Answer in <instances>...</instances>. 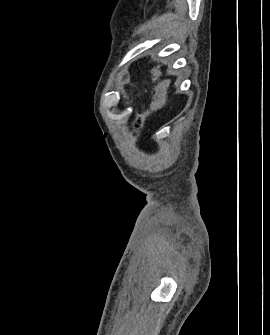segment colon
<instances>
[{
    "instance_id": "colon-1",
    "label": "colon",
    "mask_w": 270,
    "mask_h": 335,
    "mask_svg": "<svg viewBox=\"0 0 270 335\" xmlns=\"http://www.w3.org/2000/svg\"><path fill=\"white\" fill-rule=\"evenodd\" d=\"M153 63H156V68H162V63H158V58H153ZM155 88H170V79H165V83H155ZM163 95H169V90H163ZM157 109H171L172 103L165 102V98H160V102L156 103ZM151 114L150 109L142 111L137 119V127L139 128L143 120Z\"/></svg>"
}]
</instances>
